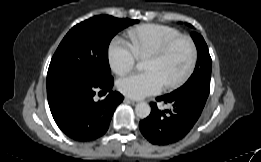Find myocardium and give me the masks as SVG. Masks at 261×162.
I'll use <instances>...</instances> for the list:
<instances>
[{
    "label": "myocardium",
    "instance_id": "f54148a6",
    "mask_svg": "<svg viewBox=\"0 0 261 162\" xmlns=\"http://www.w3.org/2000/svg\"><path fill=\"white\" fill-rule=\"evenodd\" d=\"M181 42H186L190 47V51H191L190 62L183 74H181L178 78H176L172 82L165 85V88L168 90L175 89L180 85H182L194 72L198 60V50L195 42L191 37L181 35L166 42L160 47L154 49L147 55V56H153L157 58H163L166 55H168L172 51V49Z\"/></svg>",
    "mask_w": 261,
    "mask_h": 162
}]
</instances>
